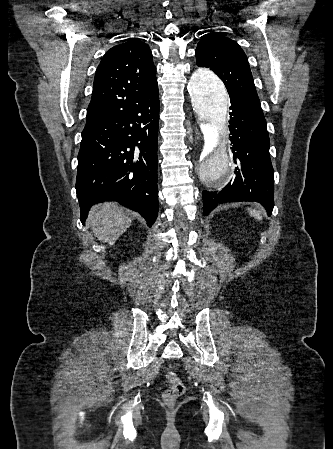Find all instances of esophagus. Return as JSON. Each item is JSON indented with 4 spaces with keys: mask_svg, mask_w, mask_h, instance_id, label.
<instances>
[{
    "mask_svg": "<svg viewBox=\"0 0 333 449\" xmlns=\"http://www.w3.org/2000/svg\"><path fill=\"white\" fill-rule=\"evenodd\" d=\"M195 133H196V137H197V139H199V137H200V133H199V131L197 130V128H196V130H195Z\"/></svg>",
    "mask_w": 333,
    "mask_h": 449,
    "instance_id": "esophagus-1",
    "label": "esophagus"
}]
</instances>
